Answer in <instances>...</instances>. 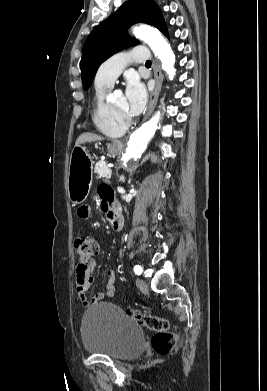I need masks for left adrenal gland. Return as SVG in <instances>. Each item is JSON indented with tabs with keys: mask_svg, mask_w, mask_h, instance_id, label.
Returning <instances> with one entry per match:
<instances>
[{
	"mask_svg": "<svg viewBox=\"0 0 267 391\" xmlns=\"http://www.w3.org/2000/svg\"><path fill=\"white\" fill-rule=\"evenodd\" d=\"M120 181H121L122 183H124V182H125V177H124V176H120Z\"/></svg>",
	"mask_w": 267,
	"mask_h": 391,
	"instance_id": "left-adrenal-gland-1",
	"label": "left adrenal gland"
}]
</instances>
